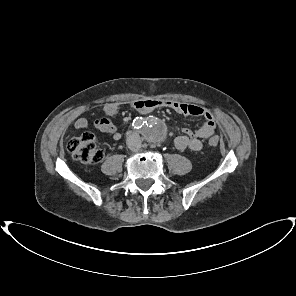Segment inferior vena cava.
Wrapping results in <instances>:
<instances>
[{
    "instance_id": "1",
    "label": "inferior vena cava",
    "mask_w": 296,
    "mask_h": 296,
    "mask_svg": "<svg viewBox=\"0 0 296 296\" xmlns=\"http://www.w3.org/2000/svg\"><path fill=\"white\" fill-rule=\"evenodd\" d=\"M126 144L129 149L137 151L141 147V139L137 133H132L127 137Z\"/></svg>"
}]
</instances>
